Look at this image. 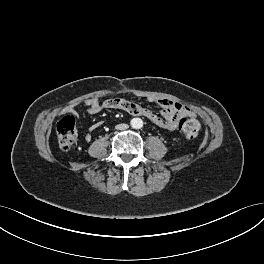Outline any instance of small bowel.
I'll use <instances>...</instances> for the list:
<instances>
[{
    "label": "small bowel",
    "instance_id": "small-bowel-1",
    "mask_svg": "<svg viewBox=\"0 0 264 264\" xmlns=\"http://www.w3.org/2000/svg\"><path fill=\"white\" fill-rule=\"evenodd\" d=\"M147 100L149 102H156L161 106L160 116L136 103L122 98H113L104 101H100L98 98H90L84 101V105L87 107V113L90 115L98 114L104 109H121L131 115L144 116L158 127L169 131L177 129L182 117L194 116L190 108L178 102L164 98L157 99L153 96H148ZM69 111L75 113V108L70 107ZM97 126L98 124L92 125L90 130L95 129ZM85 139L87 142H90L92 137L90 134H86Z\"/></svg>",
    "mask_w": 264,
    "mask_h": 264
}]
</instances>
